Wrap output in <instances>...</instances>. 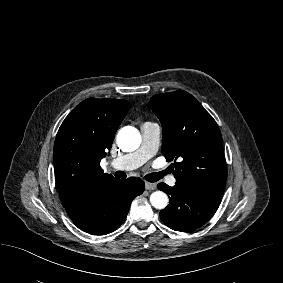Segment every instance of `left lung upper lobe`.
Returning <instances> with one entry per match:
<instances>
[{
	"instance_id": "1",
	"label": "left lung upper lobe",
	"mask_w": 283,
	"mask_h": 283,
	"mask_svg": "<svg viewBox=\"0 0 283 283\" xmlns=\"http://www.w3.org/2000/svg\"><path fill=\"white\" fill-rule=\"evenodd\" d=\"M149 106L162 123V154L167 161L180 159L172 164L176 180L221 199L226 165L222 136L213 117L185 91L156 94Z\"/></svg>"
}]
</instances>
